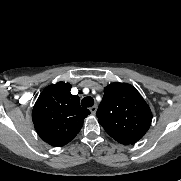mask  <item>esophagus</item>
<instances>
[{"label": "esophagus", "mask_w": 181, "mask_h": 181, "mask_svg": "<svg viewBox=\"0 0 181 181\" xmlns=\"http://www.w3.org/2000/svg\"><path fill=\"white\" fill-rule=\"evenodd\" d=\"M96 111H97V106H96V105L90 107V112H91L92 114H95Z\"/></svg>", "instance_id": "esophagus-1"}]
</instances>
